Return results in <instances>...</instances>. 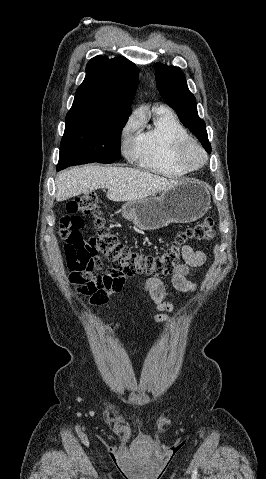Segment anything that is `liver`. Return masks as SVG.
Instances as JSON below:
<instances>
[{"label":"liver","instance_id":"obj_1","mask_svg":"<svg viewBox=\"0 0 266 479\" xmlns=\"http://www.w3.org/2000/svg\"><path fill=\"white\" fill-rule=\"evenodd\" d=\"M56 200L65 201L82 193L106 188L111 201H135L169 190L182 181L124 167L85 165L57 175Z\"/></svg>","mask_w":266,"mask_h":479}]
</instances>
